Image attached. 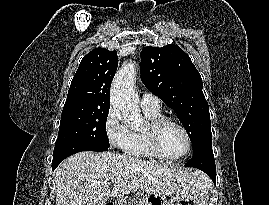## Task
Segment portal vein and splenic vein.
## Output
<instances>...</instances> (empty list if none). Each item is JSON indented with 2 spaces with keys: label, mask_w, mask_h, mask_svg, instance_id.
Segmentation results:
<instances>
[{
  "label": "portal vein and splenic vein",
  "mask_w": 269,
  "mask_h": 205,
  "mask_svg": "<svg viewBox=\"0 0 269 205\" xmlns=\"http://www.w3.org/2000/svg\"><path fill=\"white\" fill-rule=\"evenodd\" d=\"M121 180H122L121 178H113V179L110 181V183H111V184H117V183H119Z\"/></svg>",
  "instance_id": "portal-vein-and-splenic-vein-1"
}]
</instances>
